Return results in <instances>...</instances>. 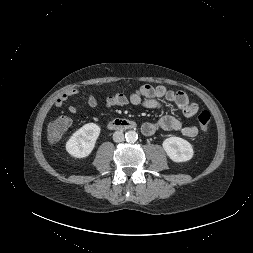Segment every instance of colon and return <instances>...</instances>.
<instances>
[{"mask_svg":"<svg viewBox=\"0 0 253 253\" xmlns=\"http://www.w3.org/2000/svg\"><path fill=\"white\" fill-rule=\"evenodd\" d=\"M197 120L199 122V125L201 129L204 132H207L210 125L211 120V114L208 110H202L198 116ZM71 120L67 116H60L56 119H54L48 127V137L51 142L58 141L64 133L68 130L70 127Z\"/></svg>","mask_w":253,"mask_h":253,"instance_id":"5ec220e1","label":"colon"}]
</instances>
